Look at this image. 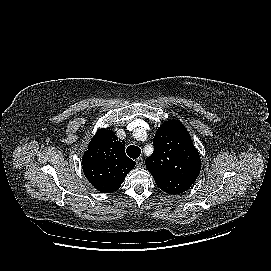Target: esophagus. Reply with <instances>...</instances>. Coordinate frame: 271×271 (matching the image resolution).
<instances>
[{"mask_svg":"<svg viewBox=\"0 0 271 271\" xmlns=\"http://www.w3.org/2000/svg\"><path fill=\"white\" fill-rule=\"evenodd\" d=\"M143 164V158L139 157L138 159H136V165L137 167H141Z\"/></svg>","mask_w":271,"mask_h":271,"instance_id":"esophagus-1","label":"esophagus"}]
</instances>
